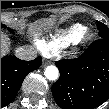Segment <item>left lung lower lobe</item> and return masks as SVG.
I'll return each instance as SVG.
<instances>
[{
	"mask_svg": "<svg viewBox=\"0 0 109 109\" xmlns=\"http://www.w3.org/2000/svg\"><path fill=\"white\" fill-rule=\"evenodd\" d=\"M60 77L52 85L62 109H94L109 98V38L94 41L77 59L57 61Z\"/></svg>",
	"mask_w": 109,
	"mask_h": 109,
	"instance_id": "obj_1",
	"label": "left lung lower lobe"
}]
</instances>
